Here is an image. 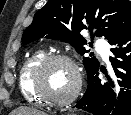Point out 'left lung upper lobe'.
<instances>
[{"instance_id": "5c2ea615", "label": "left lung upper lobe", "mask_w": 131, "mask_h": 115, "mask_svg": "<svg viewBox=\"0 0 131 115\" xmlns=\"http://www.w3.org/2000/svg\"><path fill=\"white\" fill-rule=\"evenodd\" d=\"M131 24V8L127 0H49L34 15L24 31V44L46 35L70 43L81 55L87 53L86 40L80 35L89 29L91 39L104 36L108 42ZM92 31L95 33L93 34ZM88 78L99 68L96 58L83 57Z\"/></svg>"}]
</instances>
